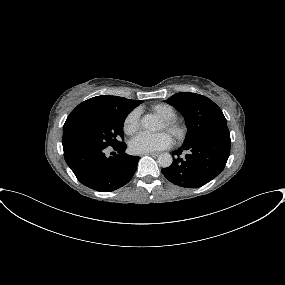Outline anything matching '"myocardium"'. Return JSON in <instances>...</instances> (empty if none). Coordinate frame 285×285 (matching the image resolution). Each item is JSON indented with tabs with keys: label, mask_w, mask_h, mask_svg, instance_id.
<instances>
[{
	"label": "myocardium",
	"mask_w": 285,
	"mask_h": 285,
	"mask_svg": "<svg viewBox=\"0 0 285 285\" xmlns=\"http://www.w3.org/2000/svg\"><path fill=\"white\" fill-rule=\"evenodd\" d=\"M165 130L176 140L181 141L187 133L186 125L176 117L161 119Z\"/></svg>",
	"instance_id": "myocardium-1"
}]
</instances>
